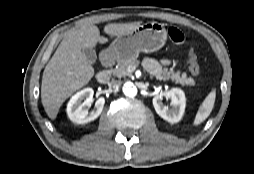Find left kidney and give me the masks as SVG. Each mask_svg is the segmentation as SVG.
Instances as JSON below:
<instances>
[{"mask_svg": "<svg viewBox=\"0 0 254 174\" xmlns=\"http://www.w3.org/2000/svg\"><path fill=\"white\" fill-rule=\"evenodd\" d=\"M164 97L171 100V109L164 106L162 102ZM152 101L156 113L167 122L174 124L182 119L186 98L181 89L172 88L169 91L161 92L155 95Z\"/></svg>", "mask_w": 254, "mask_h": 174, "instance_id": "5707ae66", "label": "left kidney"}]
</instances>
